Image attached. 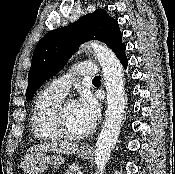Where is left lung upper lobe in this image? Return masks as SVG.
Returning <instances> with one entry per match:
<instances>
[{"mask_svg":"<svg viewBox=\"0 0 175 174\" xmlns=\"http://www.w3.org/2000/svg\"><path fill=\"white\" fill-rule=\"evenodd\" d=\"M89 40L106 43L116 55L125 46L118 22L103 9L81 17L70 26L49 32L34 50L28 73L26 100L30 99L45 79L63 68L80 44Z\"/></svg>","mask_w":175,"mask_h":174,"instance_id":"obj_1","label":"left lung upper lobe"}]
</instances>
